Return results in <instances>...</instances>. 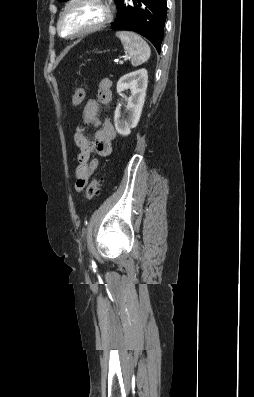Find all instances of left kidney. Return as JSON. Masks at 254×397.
I'll use <instances>...</instances> for the list:
<instances>
[{"mask_svg":"<svg viewBox=\"0 0 254 397\" xmlns=\"http://www.w3.org/2000/svg\"><path fill=\"white\" fill-rule=\"evenodd\" d=\"M148 82V72L146 69L128 73L122 76L117 83V93H121L130 89L131 96L127 101V116L125 119L121 117V107L117 106L114 113V125L116 131L121 136H128L131 129L135 128L139 122L142 108L145 102L146 89Z\"/></svg>","mask_w":254,"mask_h":397,"instance_id":"left-kidney-1","label":"left kidney"}]
</instances>
